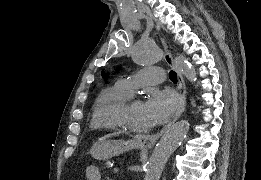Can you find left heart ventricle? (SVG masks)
Masks as SVG:
<instances>
[{"label":"left heart ventricle","mask_w":261,"mask_h":180,"mask_svg":"<svg viewBox=\"0 0 261 180\" xmlns=\"http://www.w3.org/2000/svg\"><path fill=\"white\" fill-rule=\"evenodd\" d=\"M119 117L130 131L140 135L146 134L155 124L145 111L141 99L133 101Z\"/></svg>","instance_id":"left-heart-ventricle-1"}]
</instances>
